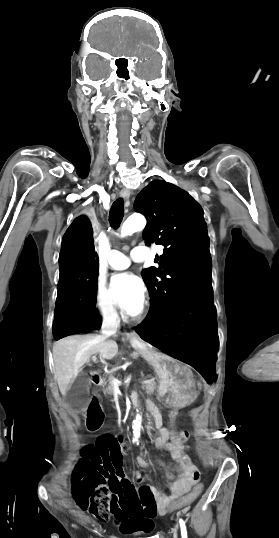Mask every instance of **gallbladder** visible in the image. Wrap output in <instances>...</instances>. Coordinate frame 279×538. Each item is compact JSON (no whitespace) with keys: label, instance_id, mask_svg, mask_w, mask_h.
Returning a JSON list of instances; mask_svg holds the SVG:
<instances>
[{"label":"gallbladder","instance_id":"1","mask_svg":"<svg viewBox=\"0 0 279 538\" xmlns=\"http://www.w3.org/2000/svg\"><path fill=\"white\" fill-rule=\"evenodd\" d=\"M89 378L86 372H80L73 384H71L66 396L68 398L67 403L71 410H80L82 405L89 403V396L87 390L89 386ZM81 414V411H78Z\"/></svg>","mask_w":279,"mask_h":538}]
</instances>
